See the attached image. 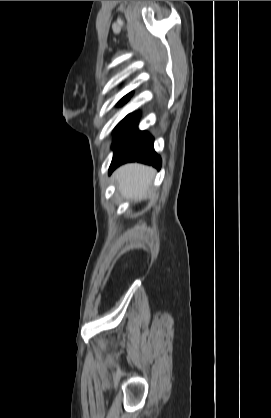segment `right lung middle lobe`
<instances>
[{"label": "right lung middle lobe", "instance_id": "right-lung-middle-lobe-1", "mask_svg": "<svg viewBox=\"0 0 271 418\" xmlns=\"http://www.w3.org/2000/svg\"><path fill=\"white\" fill-rule=\"evenodd\" d=\"M126 101H120V104H124ZM137 121V114H129L124 120H122L115 129V139H117L123 132L130 128Z\"/></svg>", "mask_w": 271, "mask_h": 418}]
</instances>
